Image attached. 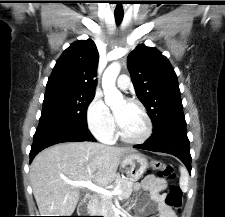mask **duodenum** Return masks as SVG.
Masks as SVG:
<instances>
[{
	"instance_id": "obj_1",
	"label": "duodenum",
	"mask_w": 225,
	"mask_h": 217,
	"mask_svg": "<svg viewBox=\"0 0 225 217\" xmlns=\"http://www.w3.org/2000/svg\"><path fill=\"white\" fill-rule=\"evenodd\" d=\"M89 198H90V196H89ZM82 212L87 213V208H83ZM109 217H121V215L118 213H112Z\"/></svg>"
}]
</instances>
